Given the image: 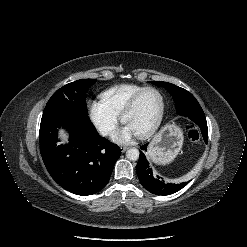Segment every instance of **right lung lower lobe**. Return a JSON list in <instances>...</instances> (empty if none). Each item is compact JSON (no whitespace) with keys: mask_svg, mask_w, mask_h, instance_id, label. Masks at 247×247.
Wrapping results in <instances>:
<instances>
[{"mask_svg":"<svg viewBox=\"0 0 247 247\" xmlns=\"http://www.w3.org/2000/svg\"><path fill=\"white\" fill-rule=\"evenodd\" d=\"M69 132V143L57 145L58 129ZM40 151L51 177L76 195H91L108 183L121 150L100 138L88 113L63 105L46 106L40 124Z\"/></svg>","mask_w":247,"mask_h":247,"instance_id":"obj_1","label":"right lung lower lobe"}]
</instances>
